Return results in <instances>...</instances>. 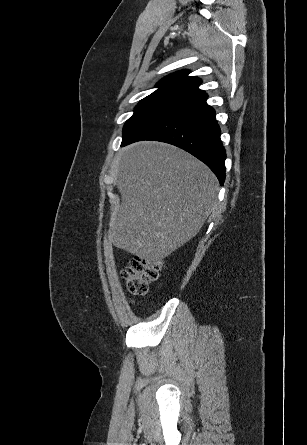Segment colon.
Instances as JSON below:
<instances>
[{"instance_id": "5ec220e1", "label": "colon", "mask_w": 307, "mask_h": 445, "mask_svg": "<svg viewBox=\"0 0 307 445\" xmlns=\"http://www.w3.org/2000/svg\"><path fill=\"white\" fill-rule=\"evenodd\" d=\"M161 265L160 261L133 258L122 272L128 291L134 295H145L150 283L158 278Z\"/></svg>"}]
</instances>
